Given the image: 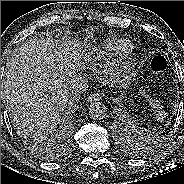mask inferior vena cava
<instances>
[{"mask_svg": "<svg viewBox=\"0 0 184 184\" xmlns=\"http://www.w3.org/2000/svg\"><path fill=\"white\" fill-rule=\"evenodd\" d=\"M88 79L81 74H75L69 80L68 89L70 92L79 93L87 89Z\"/></svg>", "mask_w": 184, "mask_h": 184, "instance_id": "inferior-vena-cava-1", "label": "inferior vena cava"}]
</instances>
